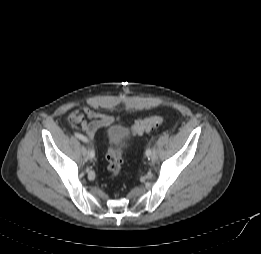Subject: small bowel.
<instances>
[{
  "label": "small bowel",
  "mask_w": 261,
  "mask_h": 254,
  "mask_svg": "<svg viewBox=\"0 0 261 254\" xmlns=\"http://www.w3.org/2000/svg\"><path fill=\"white\" fill-rule=\"evenodd\" d=\"M68 121L72 126H80L82 131L93 141L96 132L100 128L112 124L114 118L89 107H82L80 110L71 111L68 115Z\"/></svg>",
  "instance_id": "small-bowel-1"
}]
</instances>
